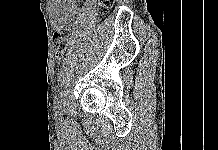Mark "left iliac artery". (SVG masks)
I'll return each mask as SVG.
<instances>
[{"label":"left iliac artery","mask_w":218,"mask_h":150,"mask_svg":"<svg viewBox=\"0 0 218 150\" xmlns=\"http://www.w3.org/2000/svg\"><path fill=\"white\" fill-rule=\"evenodd\" d=\"M60 104H59V98L57 95L54 96V111H55V115H60L61 111H60Z\"/></svg>","instance_id":"obj_1"}]
</instances>
